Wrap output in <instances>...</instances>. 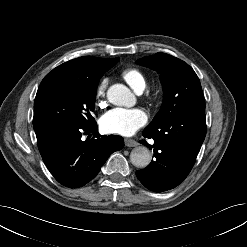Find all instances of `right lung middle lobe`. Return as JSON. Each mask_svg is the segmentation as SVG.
I'll use <instances>...</instances> for the list:
<instances>
[{"mask_svg":"<svg viewBox=\"0 0 247 247\" xmlns=\"http://www.w3.org/2000/svg\"><path fill=\"white\" fill-rule=\"evenodd\" d=\"M119 58L111 62L106 71ZM98 83L91 84L67 79L42 81L34 102L33 127L45 123H66L89 126L95 123L91 113L95 108Z\"/></svg>","mask_w":247,"mask_h":247,"instance_id":"1","label":"right lung middle lobe"}]
</instances>
